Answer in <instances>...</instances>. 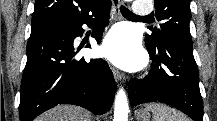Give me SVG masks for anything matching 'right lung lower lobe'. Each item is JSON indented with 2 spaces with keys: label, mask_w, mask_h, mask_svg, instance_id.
<instances>
[{
  "label": "right lung lower lobe",
  "mask_w": 217,
  "mask_h": 121,
  "mask_svg": "<svg viewBox=\"0 0 217 121\" xmlns=\"http://www.w3.org/2000/svg\"><path fill=\"white\" fill-rule=\"evenodd\" d=\"M110 7L111 2L97 14L67 27L30 36L20 89V121H32L58 104L78 105L98 115L110 110L116 83L107 62L76 60L79 49L73 46L74 39L84 32L83 24L91 26L104 17L92 34L97 43L101 42Z\"/></svg>",
  "instance_id": "obj_1"
}]
</instances>
